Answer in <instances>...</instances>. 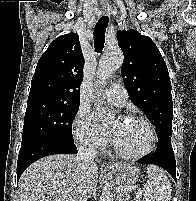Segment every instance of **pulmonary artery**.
<instances>
[{
	"label": "pulmonary artery",
	"mask_w": 196,
	"mask_h": 201,
	"mask_svg": "<svg viewBox=\"0 0 196 201\" xmlns=\"http://www.w3.org/2000/svg\"><path fill=\"white\" fill-rule=\"evenodd\" d=\"M105 99L115 106H123L127 100V92L122 84H113L104 92Z\"/></svg>",
	"instance_id": "1"
}]
</instances>
